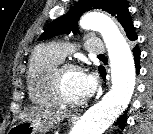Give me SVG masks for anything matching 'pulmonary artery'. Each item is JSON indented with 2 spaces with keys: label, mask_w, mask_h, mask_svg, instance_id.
Returning a JSON list of instances; mask_svg holds the SVG:
<instances>
[{
  "label": "pulmonary artery",
  "mask_w": 153,
  "mask_h": 134,
  "mask_svg": "<svg viewBox=\"0 0 153 134\" xmlns=\"http://www.w3.org/2000/svg\"><path fill=\"white\" fill-rule=\"evenodd\" d=\"M51 49L62 60L73 50V46L68 43L54 42L50 44ZM88 52L92 54H103L105 52V45L98 38H90L86 42Z\"/></svg>",
  "instance_id": "obj_1"
}]
</instances>
